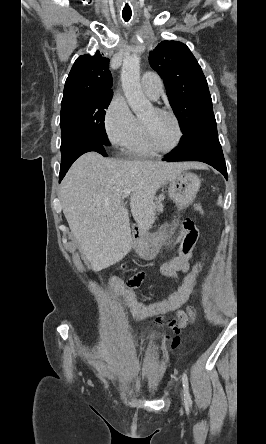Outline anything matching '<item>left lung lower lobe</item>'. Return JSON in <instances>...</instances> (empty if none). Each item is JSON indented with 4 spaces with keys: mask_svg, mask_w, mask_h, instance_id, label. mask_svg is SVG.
<instances>
[{
    "mask_svg": "<svg viewBox=\"0 0 266 444\" xmlns=\"http://www.w3.org/2000/svg\"><path fill=\"white\" fill-rule=\"evenodd\" d=\"M162 160L168 162L201 161L217 169L227 179V169L218 139L215 116L209 115L187 129L179 146Z\"/></svg>",
    "mask_w": 266,
    "mask_h": 444,
    "instance_id": "obj_1",
    "label": "left lung lower lobe"
}]
</instances>
